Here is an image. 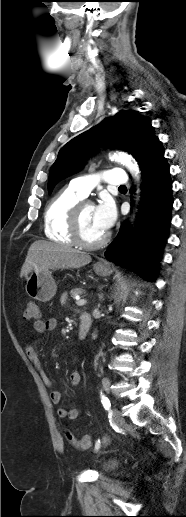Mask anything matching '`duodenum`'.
Wrapping results in <instances>:
<instances>
[{"mask_svg":"<svg viewBox=\"0 0 186 517\" xmlns=\"http://www.w3.org/2000/svg\"><path fill=\"white\" fill-rule=\"evenodd\" d=\"M92 326V318L89 313L83 312L80 316L77 337L80 341L84 340Z\"/></svg>","mask_w":186,"mask_h":517,"instance_id":"duodenum-1","label":"duodenum"}]
</instances>
